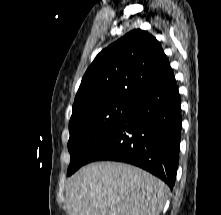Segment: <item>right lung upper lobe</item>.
Returning <instances> with one entry per match:
<instances>
[{
  "label": "right lung upper lobe",
  "instance_id": "right-lung-upper-lobe-1",
  "mask_svg": "<svg viewBox=\"0 0 221 215\" xmlns=\"http://www.w3.org/2000/svg\"><path fill=\"white\" fill-rule=\"evenodd\" d=\"M174 79L160 43L135 29L103 49L84 74L73 107L106 100L134 102Z\"/></svg>",
  "mask_w": 221,
  "mask_h": 215
}]
</instances>
